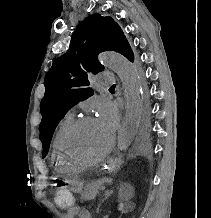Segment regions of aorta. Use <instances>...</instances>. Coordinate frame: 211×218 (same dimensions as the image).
Listing matches in <instances>:
<instances>
[{
  "label": "aorta",
  "instance_id": "762f6f07",
  "mask_svg": "<svg viewBox=\"0 0 211 218\" xmlns=\"http://www.w3.org/2000/svg\"><path fill=\"white\" fill-rule=\"evenodd\" d=\"M99 60L106 67L113 70L121 79L126 96V114L118 132V148L126 150L138 130L142 109V86L137 71L122 55L105 52L99 55Z\"/></svg>",
  "mask_w": 211,
  "mask_h": 218
}]
</instances>
